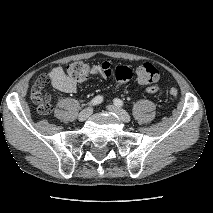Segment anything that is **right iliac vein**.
Here are the masks:
<instances>
[{
	"instance_id": "right-iliac-vein-1",
	"label": "right iliac vein",
	"mask_w": 213,
	"mask_h": 213,
	"mask_svg": "<svg viewBox=\"0 0 213 213\" xmlns=\"http://www.w3.org/2000/svg\"><path fill=\"white\" fill-rule=\"evenodd\" d=\"M91 114H92L91 108L84 109L83 111H81L79 113L78 120L83 122V121L87 120Z\"/></svg>"
}]
</instances>
